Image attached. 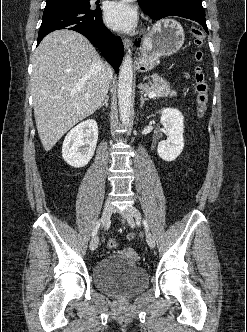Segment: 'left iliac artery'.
Masks as SVG:
<instances>
[{"mask_svg":"<svg viewBox=\"0 0 247 332\" xmlns=\"http://www.w3.org/2000/svg\"><path fill=\"white\" fill-rule=\"evenodd\" d=\"M143 224H144V226H145V229L148 231V230H149V226H148L146 220L143 221Z\"/></svg>","mask_w":247,"mask_h":332,"instance_id":"44dca946","label":"left iliac artery"}]
</instances>
